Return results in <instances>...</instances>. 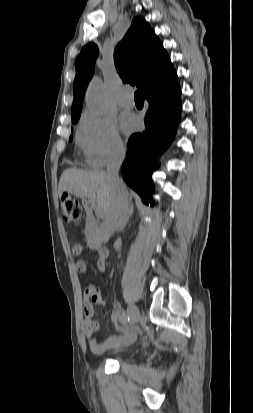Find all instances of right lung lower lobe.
Returning a JSON list of instances; mask_svg holds the SVG:
<instances>
[{
  "mask_svg": "<svg viewBox=\"0 0 253 413\" xmlns=\"http://www.w3.org/2000/svg\"><path fill=\"white\" fill-rule=\"evenodd\" d=\"M181 90L179 82L169 86L156 85L145 95L149 108L145 115V131L133 134L127 146V158L121 168L125 182L145 203L153 204L152 172L157 159L174 139L181 118Z\"/></svg>",
  "mask_w": 253,
  "mask_h": 413,
  "instance_id": "1",
  "label": "right lung lower lobe"
}]
</instances>
